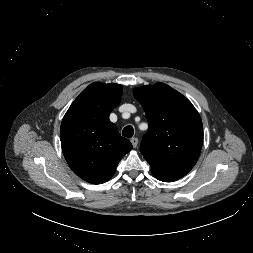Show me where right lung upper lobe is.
Instances as JSON below:
<instances>
[{"label": "right lung upper lobe", "instance_id": "1", "mask_svg": "<svg viewBox=\"0 0 253 253\" xmlns=\"http://www.w3.org/2000/svg\"><path fill=\"white\" fill-rule=\"evenodd\" d=\"M122 86L95 82L71 104L60 128L64 157L70 168L92 184L108 181L120 160L132 149L109 120L121 102Z\"/></svg>", "mask_w": 253, "mask_h": 253}]
</instances>
